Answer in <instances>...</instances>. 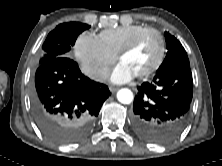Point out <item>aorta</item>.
Instances as JSON below:
<instances>
[{
	"label": "aorta",
	"instance_id": "762f6f07",
	"mask_svg": "<svg viewBox=\"0 0 222 166\" xmlns=\"http://www.w3.org/2000/svg\"><path fill=\"white\" fill-rule=\"evenodd\" d=\"M133 98L132 91L127 88L120 89L117 93V99L122 104H130Z\"/></svg>",
	"mask_w": 222,
	"mask_h": 166
}]
</instances>
